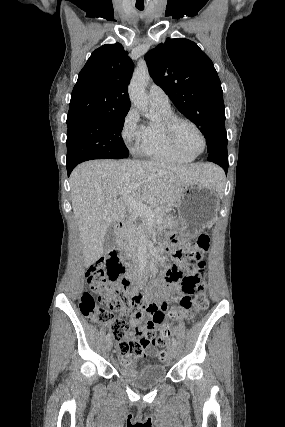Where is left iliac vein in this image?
<instances>
[{"label":"left iliac vein","mask_w":285,"mask_h":427,"mask_svg":"<svg viewBox=\"0 0 285 427\" xmlns=\"http://www.w3.org/2000/svg\"><path fill=\"white\" fill-rule=\"evenodd\" d=\"M178 354V348L177 346H175L174 344L171 345L170 347V355L172 358H176Z\"/></svg>","instance_id":"4c4485c4"}]
</instances>
